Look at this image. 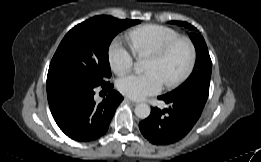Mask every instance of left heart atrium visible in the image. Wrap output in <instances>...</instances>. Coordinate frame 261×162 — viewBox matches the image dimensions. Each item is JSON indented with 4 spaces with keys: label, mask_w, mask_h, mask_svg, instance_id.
I'll return each mask as SVG.
<instances>
[{
    "label": "left heart atrium",
    "mask_w": 261,
    "mask_h": 162,
    "mask_svg": "<svg viewBox=\"0 0 261 162\" xmlns=\"http://www.w3.org/2000/svg\"><path fill=\"white\" fill-rule=\"evenodd\" d=\"M118 90L132 99H143L147 96L159 93L165 82L161 74L156 70H150L141 74H128L117 80Z\"/></svg>",
    "instance_id": "39dd6f15"
}]
</instances>
